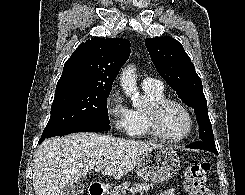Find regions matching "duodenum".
Returning a JSON list of instances; mask_svg holds the SVG:
<instances>
[{
  "label": "duodenum",
  "mask_w": 245,
  "mask_h": 195,
  "mask_svg": "<svg viewBox=\"0 0 245 195\" xmlns=\"http://www.w3.org/2000/svg\"><path fill=\"white\" fill-rule=\"evenodd\" d=\"M106 190L99 184L93 183L89 190V195H105Z\"/></svg>",
  "instance_id": "duodenum-1"
}]
</instances>
